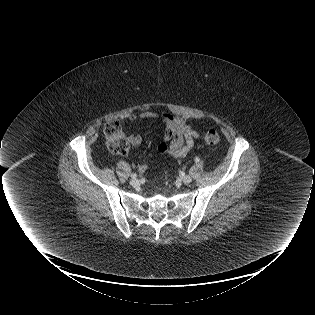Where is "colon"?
I'll list each match as a JSON object with an SVG mask.
<instances>
[{
    "instance_id": "1",
    "label": "colon",
    "mask_w": 315,
    "mask_h": 315,
    "mask_svg": "<svg viewBox=\"0 0 315 315\" xmlns=\"http://www.w3.org/2000/svg\"><path fill=\"white\" fill-rule=\"evenodd\" d=\"M104 136L108 149L117 155H125L129 150V141L119 121H111L104 127ZM204 140L209 145H216L220 142V136L215 130L208 131Z\"/></svg>"
}]
</instances>
